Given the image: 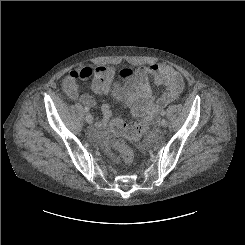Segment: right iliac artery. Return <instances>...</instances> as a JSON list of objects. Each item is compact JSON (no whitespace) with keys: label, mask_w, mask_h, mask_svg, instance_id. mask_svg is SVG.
<instances>
[{"label":"right iliac artery","mask_w":245,"mask_h":245,"mask_svg":"<svg viewBox=\"0 0 245 245\" xmlns=\"http://www.w3.org/2000/svg\"><path fill=\"white\" fill-rule=\"evenodd\" d=\"M84 110H85V112H89V107L85 106Z\"/></svg>","instance_id":"obj_1"}]
</instances>
